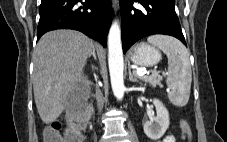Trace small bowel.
Here are the masks:
<instances>
[{"label":"small bowel","mask_w":227,"mask_h":142,"mask_svg":"<svg viewBox=\"0 0 227 142\" xmlns=\"http://www.w3.org/2000/svg\"><path fill=\"white\" fill-rule=\"evenodd\" d=\"M157 142H176V138L174 137V135L169 134Z\"/></svg>","instance_id":"c3829d8e"}]
</instances>
